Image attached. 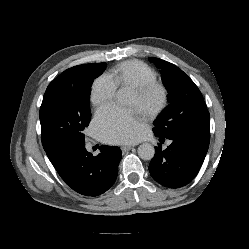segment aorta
I'll return each mask as SVG.
<instances>
[{"instance_id":"1","label":"aorta","mask_w":249,"mask_h":249,"mask_svg":"<svg viewBox=\"0 0 249 249\" xmlns=\"http://www.w3.org/2000/svg\"><path fill=\"white\" fill-rule=\"evenodd\" d=\"M117 101L124 104L128 100V93L124 88H121L116 93ZM155 149L150 143H142L138 147V155L143 160H151L154 157Z\"/></svg>"}]
</instances>
